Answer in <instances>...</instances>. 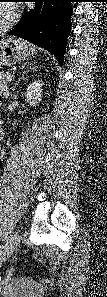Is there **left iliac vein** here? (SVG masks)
<instances>
[{
	"mask_svg": "<svg viewBox=\"0 0 107 297\" xmlns=\"http://www.w3.org/2000/svg\"><path fill=\"white\" fill-rule=\"evenodd\" d=\"M19 239L20 237L18 234H15L14 236L11 237V239L5 246V251L7 252V255H10L12 251L16 248V246L18 245Z\"/></svg>",
	"mask_w": 107,
	"mask_h": 297,
	"instance_id": "obj_1",
	"label": "left iliac vein"
}]
</instances>
